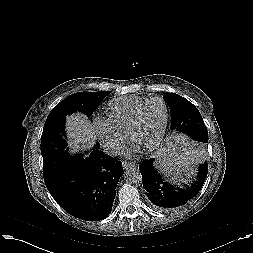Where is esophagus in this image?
Segmentation results:
<instances>
[{
  "label": "esophagus",
  "instance_id": "1",
  "mask_svg": "<svg viewBox=\"0 0 253 253\" xmlns=\"http://www.w3.org/2000/svg\"><path fill=\"white\" fill-rule=\"evenodd\" d=\"M122 165L124 169H129L131 167H134L136 164L130 161H123Z\"/></svg>",
  "mask_w": 253,
  "mask_h": 253
}]
</instances>
